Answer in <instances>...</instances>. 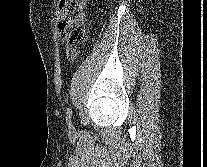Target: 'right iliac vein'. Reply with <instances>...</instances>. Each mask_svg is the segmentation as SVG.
<instances>
[{"instance_id":"obj_1","label":"right iliac vein","mask_w":207,"mask_h":167,"mask_svg":"<svg viewBox=\"0 0 207 167\" xmlns=\"http://www.w3.org/2000/svg\"><path fill=\"white\" fill-rule=\"evenodd\" d=\"M70 130H71V131H73V130H74V127H73V126H71V127H70Z\"/></svg>"}]
</instances>
